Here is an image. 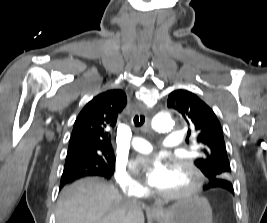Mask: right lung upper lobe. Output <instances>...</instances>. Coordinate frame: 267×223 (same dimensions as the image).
I'll list each match as a JSON object with an SVG mask.
<instances>
[{"mask_svg": "<svg viewBox=\"0 0 267 223\" xmlns=\"http://www.w3.org/2000/svg\"><path fill=\"white\" fill-rule=\"evenodd\" d=\"M125 105L122 90L101 93L86 104L74 123L67 158L113 153L111 130Z\"/></svg>", "mask_w": 267, "mask_h": 223, "instance_id": "cb5924a9", "label": "right lung upper lobe"}]
</instances>
